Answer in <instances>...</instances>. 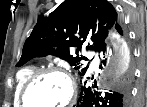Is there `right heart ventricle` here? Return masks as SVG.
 Returning <instances> with one entry per match:
<instances>
[{"label": "right heart ventricle", "instance_id": "obj_1", "mask_svg": "<svg viewBox=\"0 0 147 107\" xmlns=\"http://www.w3.org/2000/svg\"><path fill=\"white\" fill-rule=\"evenodd\" d=\"M34 71H35L34 67H25L17 72L16 77H15V88H14L15 107H22L19 101L20 93L26 81L34 73Z\"/></svg>", "mask_w": 147, "mask_h": 107}]
</instances>
